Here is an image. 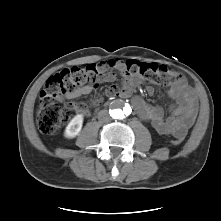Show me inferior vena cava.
<instances>
[{"label":"inferior vena cava","instance_id":"obj_1","mask_svg":"<svg viewBox=\"0 0 221 221\" xmlns=\"http://www.w3.org/2000/svg\"><path fill=\"white\" fill-rule=\"evenodd\" d=\"M98 119L102 122H109L111 120L110 116L106 111L100 112L98 115Z\"/></svg>","mask_w":221,"mask_h":221}]
</instances>
